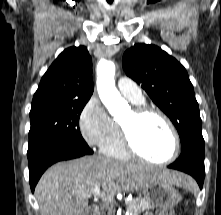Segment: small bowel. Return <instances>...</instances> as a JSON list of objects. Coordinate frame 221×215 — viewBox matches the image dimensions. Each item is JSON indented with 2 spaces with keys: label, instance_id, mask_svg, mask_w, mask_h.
I'll return each mask as SVG.
<instances>
[{
  "label": "small bowel",
  "instance_id": "small-bowel-1",
  "mask_svg": "<svg viewBox=\"0 0 221 215\" xmlns=\"http://www.w3.org/2000/svg\"><path fill=\"white\" fill-rule=\"evenodd\" d=\"M144 215H153L152 213H146V214H144Z\"/></svg>",
  "mask_w": 221,
  "mask_h": 215
}]
</instances>
